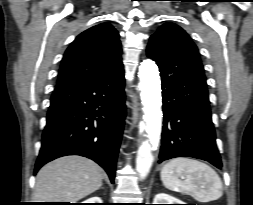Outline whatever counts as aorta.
<instances>
[{"label":"aorta","instance_id":"1","mask_svg":"<svg viewBox=\"0 0 253 205\" xmlns=\"http://www.w3.org/2000/svg\"><path fill=\"white\" fill-rule=\"evenodd\" d=\"M138 76L143 109L140 128L146 131L147 139L141 143L137 151L136 171L141 179H145L153 162L152 150L157 147L161 134V82L158 67L150 59L141 63Z\"/></svg>","mask_w":253,"mask_h":205}]
</instances>
